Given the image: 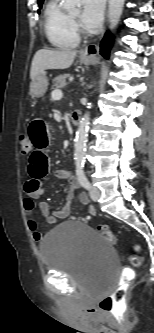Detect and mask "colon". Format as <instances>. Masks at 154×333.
<instances>
[{
    "label": "colon",
    "mask_w": 154,
    "mask_h": 333,
    "mask_svg": "<svg viewBox=\"0 0 154 333\" xmlns=\"http://www.w3.org/2000/svg\"><path fill=\"white\" fill-rule=\"evenodd\" d=\"M20 148L23 154H28L31 150V145L27 134H21L19 138ZM86 221L87 218H82ZM98 232L105 237L110 243H115L116 238L112 231L105 225L98 226ZM133 266L138 267L142 264V259L139 256L131 258ZM134 277V272L131 268H124L118 287L111 294L103 297L99 301V308L101 311L111 314L113 316H120L125 308V295L130 281Z\"/></svg>",
    "instance_id": "5ec220e1"
}]
</instances>
